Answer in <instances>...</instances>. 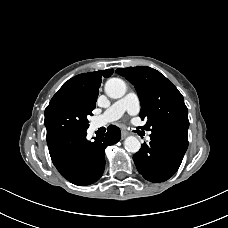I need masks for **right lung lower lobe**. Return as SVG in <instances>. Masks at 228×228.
Here are the masks:
<instances>
[{"mask_svg": "<svg viewBox=\"0 0 228 228\" xmlns=\"http://www.w3.org/2000/svg\"><path fill=\"white\" fill-rule=\"evenodd\" d=\"M86 130L68 131L47 141L57 170L65 179L80 186L100 179L105 168V148L121 138L120 129L114 125L94 141L86 139Z\"/></svg>", "mask_w": 228, "mask_h": 228, "instance_id": "1", "label": "right lung lower lobe"}]
</instances>
